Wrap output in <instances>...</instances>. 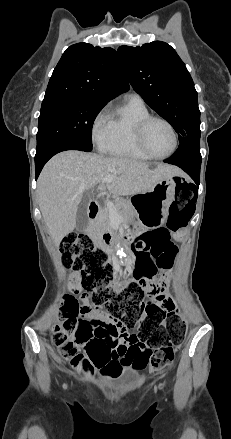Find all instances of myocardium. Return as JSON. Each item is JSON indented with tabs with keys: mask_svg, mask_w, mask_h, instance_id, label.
<instances>
[{
	"mask_svg": "<svg viewBox=\"0 0 231 439\" xmlns=\"http://www.w3.org/2000/svg\"><path fill=\"white\" fill-rule=\"evenodd\" d=\"M154 121H160V122H163L164 124H166L173 135V147L167 154L156 155L155 153H153L151 151V149L149 148V146L147 144L146 133H147V130H148L150 124ZM136 140H137L138 146L146 155H148L152 159H158V160L166 159V158L170 157L171 155H173L175 153V151L177 150L178 143H179L178 133H177V130L174 127V125L168 119H166L162 116H158V115H150V116L146 117L145 119H143L139 123L137 130H136Z\"/></svg>",
	"mask_w": 231,
	"mask_h": 439,
	"instance_id": "f54148a6",
	"label": "myocardium"
}]
</instances>
